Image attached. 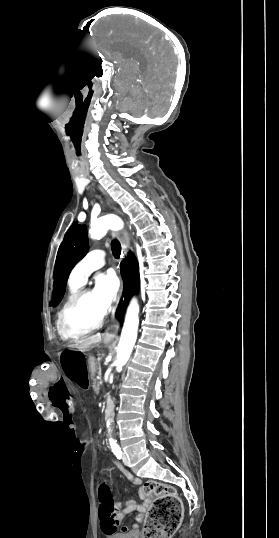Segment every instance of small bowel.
<instances>
[{
  "label": "small bowel",
  "mask_w": 279,
  "mask_h": 538,
  "mask_svg": "<svg viewBox=\"0 0 279 538\" xmlns=\"http://www.w3.org/2000/svg\"><path fill=\"white\" fill-rule=\"evenodd\" d=\"M114 465L117 469L127 478V480L134 486L141 485V479L134 477L127 469L122 467L119 463L114 462ZM142 497V502L137 503L135 500L130 499L125 502H117L115 508L117 509L116 514L111 518H103L101 526L104 533H112L116 531L120 523L126 518V516L131 512H137L136 514V523L132 525V529L136 530L138 528V523L141 522L144 517L146 510L148 509L149 502L144 497L143 490H140ZM129 528L127 526H121V532H127Z\"/></svg>",
  "instance_id": "1"
}]
</instances>
